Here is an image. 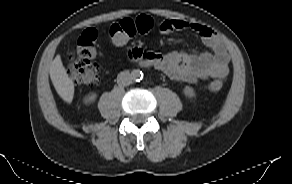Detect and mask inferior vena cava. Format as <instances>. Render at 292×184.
Segmentation results:
<instances>
[{
	"label": "inferior vena cava",
	"instance_id": "602c4592",
	"mask_svg": "<svg viewBox=\"0 0 292 184\" xmlns=\"http://www.w3.org/2000/svg\"><path fill=\"white\" fill-rule=\"evenodd\" d=\"M132 82V76L129 71L120 72L117 76V83L120 86H128Z\"/></svg>",
	"mask_w": 292,
	"mask_h": 184
}]
</instances>
